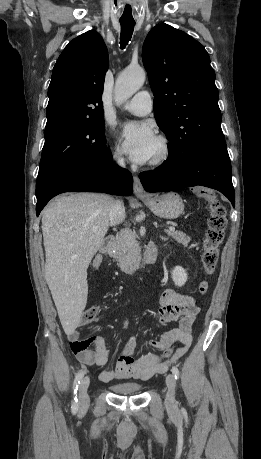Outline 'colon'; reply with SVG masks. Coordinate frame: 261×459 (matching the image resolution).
<instances>
[{"mask_svg":"<svg viewBox=\"0 0 261 459\" xmlns=\"http://www.w3.org/2000/svg\"><path fill=\"white\" fill-rule=\"evenodd\" d=\"M198 195L208 203L210 210L208 228L203 241L202 264L206 274L212 275L218 263L220 245L223 242L227 227L226 211L224 206L216 199L213 192L200 190ZM198 289L201 295L206 294L209 290V282L207 280L202 281ZM97 314V307L92 306L88 308L82 316V323H91ZM172 353L173 347L167 348L163 353V358L171 356Z\"/></svg>","mask_w":261,"mask_h":459,"instance_id":"colon-1","label":"colon"}]
</instances>
